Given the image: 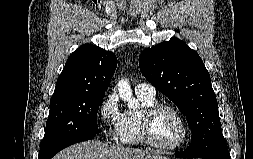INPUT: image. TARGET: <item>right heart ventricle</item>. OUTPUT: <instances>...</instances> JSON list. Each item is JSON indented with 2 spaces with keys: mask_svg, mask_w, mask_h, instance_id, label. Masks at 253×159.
<instances>
[{
  "mask_svg": "<svg viewBox=\"0 0 253 159\" xmlns=\"http://www.w3.org/2000/svg\"><path fill=\"white\" fill-rule=\"evenodd\" d=\"M142 108L141 110H128L124 113L123 123L119 133V142L122 145L137 146L142 143L140 137V116L142 110L156 103L155 96L138 95Z\"/></svg>",
  "mask_w": 253,
  "mask_h": 159,
  "instance_id": "e07e8e85",
  "label": "right heart ventricle"
}]
</instances>
